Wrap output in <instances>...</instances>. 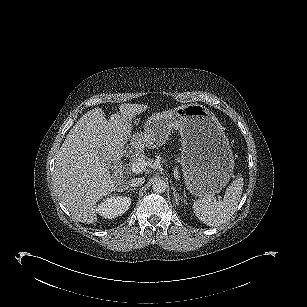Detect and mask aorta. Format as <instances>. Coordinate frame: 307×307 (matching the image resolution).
<instances>
[{
	"label": "aorta",
	"instance_id": "obj_1",
	"mask_svg": "<svg viewBox=\"0 0 307 307\" xmlns=\"http://www.w3.org/2000/svg\"><path fill=\"white\" fill-rule=\"evenodd\" d=\"M152 189L156 193H164L167 189V183L162 179H154Z\"/></svg>",
	"mask_w": 307,
	"mask_h": 307
}]
</instances>
